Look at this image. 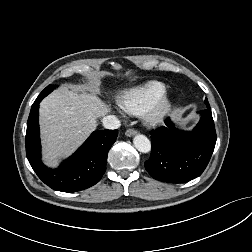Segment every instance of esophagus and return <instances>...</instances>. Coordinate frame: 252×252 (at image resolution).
<instances>
[{
    "mask_svg": "<svg viewBox=\"0 0 252 252\" xmlns=\"http://www.w3.org/2000/svg\"><path fill=\"white\" fill-rule=\"evenodd\" d=\"M137 133H138V131L135 129H128V130H126L125 135L127 137H132V136L136 135Z\"/></svg>",
    "mask_w": 252,
    "mask_h": 252,
    "instance_id": "34e87169",
    "label": "esophagus"
}]
</instances>
